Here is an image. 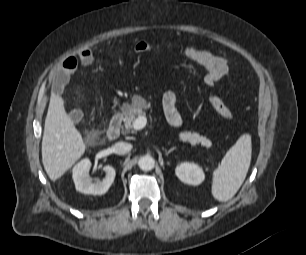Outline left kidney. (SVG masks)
<instances>
[{"mask_svg": "<svg viewBox=\"0 0 306 255\" xmlns=\"http://www.w3.org/2000/svg\"><path fill=\"white\" fill-rule=\"evenodd\" d=\"M176 176L183 182L189 185H199L205 179L203 169L193 163L184 162L178 165L175 169Z\"/></svg>", "mask_w": 306, "mask_h": 255, "instance_id": "5707ae66", "label": "left kidney"}]
</instances>
